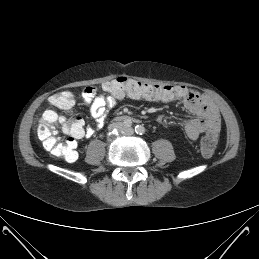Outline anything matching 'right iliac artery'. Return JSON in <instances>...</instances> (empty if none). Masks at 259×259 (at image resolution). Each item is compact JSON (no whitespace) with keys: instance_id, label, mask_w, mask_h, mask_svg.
<instances>
[{"instance_id":"obj_1","label":"right iliac artery","mask_w":259,"mask_h":259,"mask_svg":"<svg viewBox=\"0 0 259 259\" xmlns=\"http://www.w3.org/2000/svg\"><path fill=\"white\" fill-rule=\"evenodd\" d=\"M123 124H124L125 127H130L132 125V122H131V120H125L123 122Z\"/></svg>"}]
</instances>
